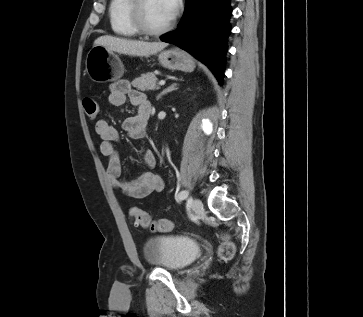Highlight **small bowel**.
Wrapping results in <instances>:
<instances>
[{"mask_svg":"<svg viewBox=\"0 0 363 317\" xmlns=\"http://www.w3.org/2000/svg\"><path fill=\"white\" fill-rule=\"evenodd\" d=\"M129 99L137 108L134 116L128 117L123 123V129L132 139H144L147 137V122L151 112V104L143 92L131 87L127 80H119L112 84L108 96L109 103L113 106H121ZM95 132L100 137V152L107 157V178L110 184L124 194L134 198H144L154 192L164 189V180L156 172L155 157L146 149L142 154L145 170L134 181H125L121 178L122 165L114 143L119 139L118 130L106 120H98L95 123Z\"/></svg>","mask_w":363,"mask_h":317,"instance_id":"c3829d8e","label":"small bowel"}]
</instances>
